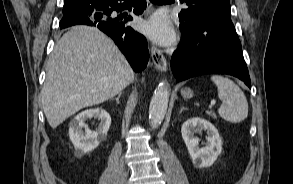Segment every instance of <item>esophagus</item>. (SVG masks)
<instances>
[{
  "label": "esophagus",
  "instance_id": "34e87169",
  "mask_svg": "<svg viewBox=\"0 0 293 184\" xmlns=\"http://www.w3.org/2000/svg\"><path fill=\"white\" fill-rule=\"evenodd\" d=\"M149 6H151V4H149ZM150 52L152 61L156 68L161 72H166L168 69V65L162 51L158 49L156 46L151 45Z\"/></svg>",
  "mask_w": 293,
  "mask_h": 184
}]
</instances>
